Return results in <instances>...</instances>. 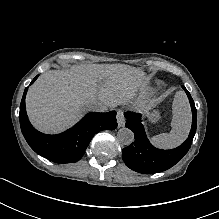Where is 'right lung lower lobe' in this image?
<instances>
[{"label": "right lung lower lobe", "mask_w": 219, "mask_h": 219, "mask_svg": "<svg viewBox=\"0 0 219 219\" xmlns=\"http://www.w3.org/2000/svg\"><path fill=\"white\" fill-rule=\"evenodd\" d=\"M36 76L31 84L37 79ZM25 89L20 104L21 131L30 147L42 157L56 163H74L82 158L92 137L101 130H113L117 127L116 111L107 113L91 112L76 125L57 135H46L30 124L25 108Z\"/></svg>", "instance_id": "98d812e1"}]
</instances>
